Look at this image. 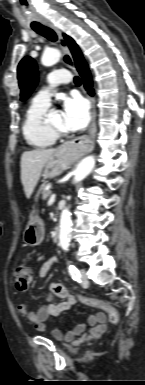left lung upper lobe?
<instances>
[{"label": "left lung upper lobe", "mask_w": 145, "mask_h": 385, "mask_svg": "<svg viewBox=\"0 0 145 385\" xmlns=\"http://www.w3.org/2000/svg\"><path fill=\"white\" fill-rule=\"evenodd\" d=\"M17 71L21 100H26L38 83L36 62L29 56L24 57L20 61Z\"/></svg>", "instance_id": "left-lung-upper-lobe-1"}]
</instances>
